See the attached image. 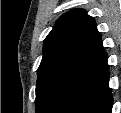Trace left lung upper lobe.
Returning a JSON list of instances; mask_svg holds the SVG:
<instances>
[{
  "instance_id": "obj_1",
  "label": "left lung upper lobe",
  "mask_w": 121,
  "mask_h": 113,
  "mask_svg": "<svg viewBox=\"0 0 121 113\" xmlns=\"http://www.w3.org/2000/svg\"><path fill=\"white\" fill-rule=\"evenodd\" d=\"M107 67L94 19L81 9L63 14L44 40L36 112L71 113Z\"/></svg>"
}]
</instances>
